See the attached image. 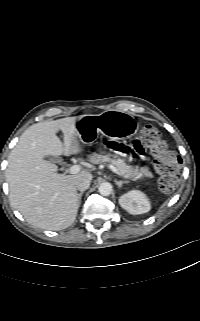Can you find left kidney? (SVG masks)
<instances>
[{"label":"left kidney","mask_w":200,"mask_h":321,"mask_svg":"<svg viewBox=\"0 0 200 321\" xmlns=\"http://www.w3.org/2000/svg\"><path fill=\"white\" fill-rule=\"evenodd\" d=\"M120 206L130 214H143L151 209V205L145 194L132 190L119 198Z\"/></svg>","instance_id":"5707ae66"}]
</instances>
